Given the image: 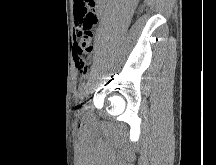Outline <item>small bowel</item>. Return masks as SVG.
Wrapping results in <instances>:
<instances>
[{
	"instance_id": "c3829d8e",
	"label": "small bowel",
	"mask_w": 216,
	"mask_h": 165,
	"mask_svg": "<svg viewBox=\"0 0 216 165\" xmlns=\"http://www.w3.org/2000/svg\"><path fill=\"white\" fill-rule=\"evenodd\" d=\"M106 0H74L75 28L79 26L85 13L90 11L97 18L103 13Z\"/></svg>"
}]
</instances>
